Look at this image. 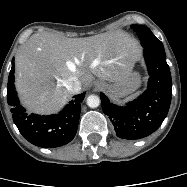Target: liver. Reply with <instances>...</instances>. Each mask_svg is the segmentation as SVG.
I'll return each mask as SVG.
<instances>
[{
  "instance_id": "6515ba94",
  "label": "liver",
  "mask_w": 187,
  "mask_h": 187,
  "mask_svg": "<svg viewBox=\"0 0 187 187\" xmlns=\"http://www.w3.org/2000/svg\"><path fill=\"white\" fill-rule=\"evenodd\" d=\"M139 58L137 43L116 32L87 38H65L41 32L33 34L15 61V86L21 103L38 114L55 113L73 93L67 80L76 77L88 88L94 76L120 82Z\"/></svg>"
}]
</instances>
